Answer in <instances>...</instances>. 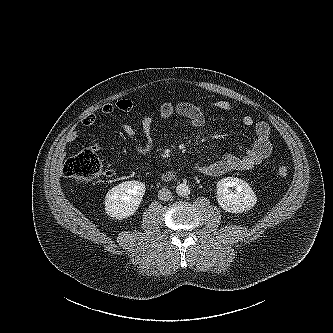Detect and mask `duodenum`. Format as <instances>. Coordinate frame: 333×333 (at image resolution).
<instances>
[{
  "mask_svg": "<svg viewBox=\"0 0 333 333\" xmlns=\"http://www.w3.org/2000/svg\"><path fill=\"white\" fill-rule=\"evenodd\" d=\"M173 177H174V172H172V171L166 172L163 175L164 180H171Z\"/></svg>",
  "mask_w": 333,
  "mask_h": 333,
  "instance_id": "1",
  "label": "duodenum"
}]
</instances>
